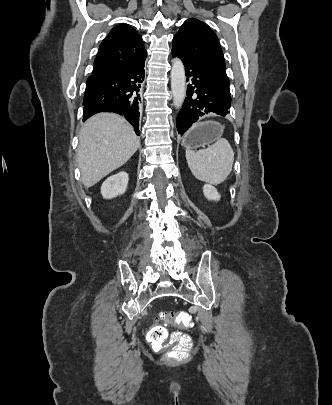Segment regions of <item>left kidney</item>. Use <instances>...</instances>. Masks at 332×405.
<instances>
[{"label": "left kidney", "instance_id": "5707ae66", "mask_svg": "<svg viewBox=\"0 0 332 405\" xmlns=\"http://www.w3.org/2000/svg\"><path fill=\"white\" fill-rule=\"evenodd\" d=\"M203 193L208 200L218 201L221 197L214 186L207 184L203 186Z\"/></svg>", "mask_w": 332, "mask_h": 405}]
</instances>
